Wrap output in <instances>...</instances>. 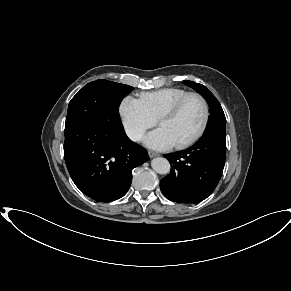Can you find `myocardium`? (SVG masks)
I'll use <instances>...</instances> for the list:
<instances>
[{
  "label": "myocardium",
  "mask_w": 291,
  "mask_h": 291,
  "mask_svg": "<svg viewBox=\"0 0 291 291\" xmlns=\"http://www.w3.org/2000/svg\"><path fill=\"white\" fill-rule=\"evenodd\" d=\"M191 97H197L203 103V106H204V118H203V121H202V124H201L199 130L196 132V134L194 136H192L191 138H189L188 140H186L184 142H181V143H178V144L174 145L177 149H185V148L193 145L205 133V131L207 129V126H208V123H209V118H210V107H209V104H208L207 100L199 93H195V92L188 93L184 97L179 99L169 109H167L165 112H163L157 119V125L159 126L161 121L166 120V119L174 118L179 113V111L181 110V108L183 107L185 102Z\"/></svg>",
  "instance_id": "myocardium-1"
}]
</instances>
